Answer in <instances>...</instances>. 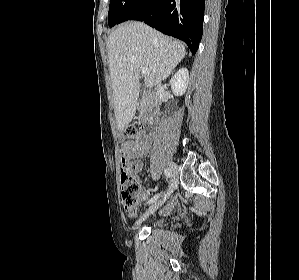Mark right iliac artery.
Segmentation results:
<instances>
[{"label":"right iliac artery","mask_w":299,"mask_h":280,"mask_svg":"<svg viewBox=\"0 0 299 280\" xmlns=\"http://www.w3.org/2000/svg\"><path fill=\"white\" fill-rule=\"evenodd\" d=\"M164 174H165V176H167V177H171V176H172V173H171V171H170L169 169H165V170H164ZM159 196H160V194H156L155 196H153V197L147 202V204H151V203L155 202V201L159 198Z\"/></svg>","instance_id":"82829eb1"}]
</instances>
